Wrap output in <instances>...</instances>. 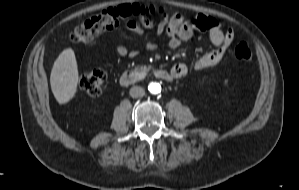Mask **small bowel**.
Masks as SVG:
<instances>
[{
    "mask_svg": "<svg viewBox=\"0 0 299 190\" xmlns=\"http://www.w3.org/2000/svg\"><path fill=\"white\" fill-rule=\"evenodd\" d=\"M139 22L141 25L148 28L157 27L160 30L165 29L172 36L170 42L172 47H178L181 44V37L190 36L195 24H198V22L195 20H186L183 17H178L169 20L165 19L161 22H156L155 20L145 16L140 18ZM126 24L128 27L134 29L138 26V21L134 19H128L126 21ZM204 25L205 30L211 31V39L213 44L219 47V51L209 58V63L215 65L219 63L222 59L228 44L224 39L223 33L218 28V23L213 18L204 17ZM120 55L126 56L127 51L121 50ZM188 71L189 68L187 65L179 64L174 69V75L177 77H182L185 76L188 73Z\"/></svg>",
    "mask_w": 299,
    "mask_h": 190,
    "instance_id": "small-bowel-1",
    "label": "small bowel"
}]
</instances>
